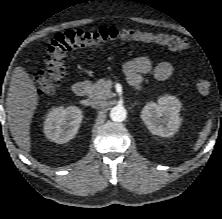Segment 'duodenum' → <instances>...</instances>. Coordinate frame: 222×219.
Wrapping results in <instances>:
<instances>
[{
    "mask_svg": "<svg viewBox=\"0 0 222 219\" xmlns=\"http://www.w3.org/2000/svg\"><path fill=\"white\" fill-rule=\"evenodd\" d=\"M73 93L76 96H85L88 93V86L83 82H76L73 85Z\"/></svg>",
    "mask_w": 222,
    "mask_h": 219,
    "instance_id": "1",
    "label": "duodenum"
}]
</instances>
